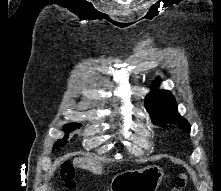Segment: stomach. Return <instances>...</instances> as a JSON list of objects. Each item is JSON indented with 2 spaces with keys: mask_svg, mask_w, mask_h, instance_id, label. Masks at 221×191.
Returning <instances> with one entry per match:
<instances>
[{
  "mask_svg": "<svg viewBox=\"0 0 221 191\" xmlns=\"http://www.w3.org/2000/svg\"><path fill=\"white\" fill-rule=\"evenodd\" d=\"M164 176L159 166L119 173L112 178L111 191H156Z\"/></svg>",
  "mask_w": 221,
  "mask_h": 191,
  "instance_id": "0dacf381",
  "label": "stomach"
}]
</instances>
